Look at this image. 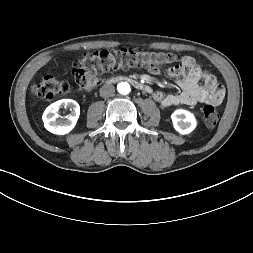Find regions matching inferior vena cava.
Wrapping results in <instances>:
<instances>
[{
    "label": "inferior vena cava",
    "mask_w": 253,
    "mask_h": 253,
    "mask_svg": "<svg viewBox=\"0 0 253 253\" xmlns=\"http://www.w3.org/2000/svg\"><path fill=\"white\" fill-rule=\"evenodd\" d=\"M114 92L115 87L113 85L106 84L100 88V96L103 98L111 97L114 94Z\"/></svg>",
    "instance_id": "obj_1"
}]
</instances>
